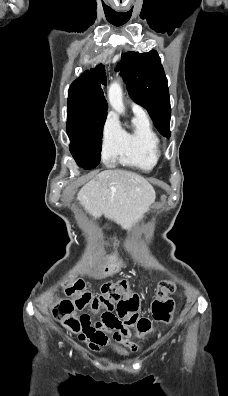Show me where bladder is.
Masks as SVG:
<instances>
[{"mask_svg":"<svg viewBox=\"0 0 228 396\" xmlns=\"http://www.w3.org/2000/svg\"><path fill=\"white\" fill-rule=\"evenodd\" d=\"M114 352H115L117 355H120V356H128V355L130 354L129 351H128L127 349L122 348V347L115 348V349H114Z\"/></svg>","mask_w":228,"mask_h":396,"instance_id":"1","label":"bladder"}]
</instances>
